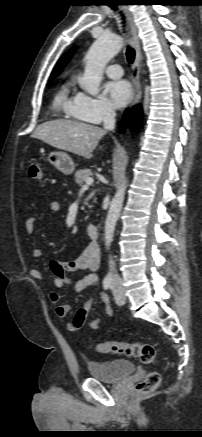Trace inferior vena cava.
I'll use <instances>...</instances> for the list:
<instances>
[{
    "instance_id": "inferior-vena-cava-1",
    "label": "inferior vena cava",
    "mask_w": 202,
    "mask_h": 437,
    "mask_svg": "<svg viewBox=\"0 0 202 437\" xmlns=\"http://www.w3.org/2000/svg\"><path fill=\"white\" fill-rule=\"evenodd\" d=\"M115 111L112 107H107L103 113V126L107 130H113L115 128ZM110 267L111 271L114 273L112 274L113 281H119L120 277L116 273L115 270V263L113 260H110Z\"/></svg>"
}]
</instances>
